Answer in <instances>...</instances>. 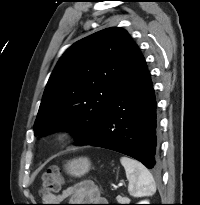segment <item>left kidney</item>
Here are the masks:
<instances>
[{
	"label": "left kidney",
	"instance_id": "obj_1",
	"mask_svg": "<svg viewBox=\"0 0 200 205\" xmlns=\"http://www.w3.org/2000/svg\"><path fill=\"white\" fill-rule=\"evenodd\" d=\"M139 204H149L148 200H143L142 202H139Z\"/></svg>",
	"mask_w": 200,
	"mask_h": 205
}]
</instances>
